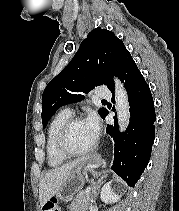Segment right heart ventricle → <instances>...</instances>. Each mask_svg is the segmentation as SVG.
Listing matches in <instances>:
<instances>
[{
	"mask_svg": "<svg viewBox=\"0 0 179 211\" xmlns=\"http://www.w3.org/2000/svg\"><path fill=\"white\" fill-rule=\"evenodd\" d=\"M71 117L72 113H69L66 110H62L52 118L48 125L45 152L47 164L51 168L61 166L67 159L59 153L57 149V139L62 126Z\"/></svg>",
	"mask_w": 179,
	"mask_h": 211,
	"instance_id": "right-heart-ventricle-1",
	"label": "right heart ventricle"
}]
</instances>
